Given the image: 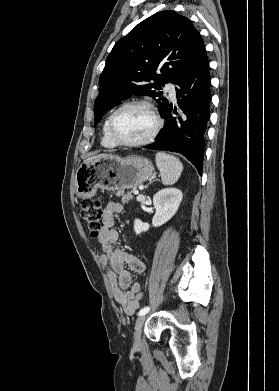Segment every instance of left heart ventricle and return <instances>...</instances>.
Returning <instances> with one entry per match:
<instances>
[{
  "mask_svg": "<svg viewBox=\"0 0 279 391\" xmlns=\"http://www.w3.org/2000/svg\"><path fill=\"white\" fill-rule=\"evenodd\" d=\"M153 126L154 120L146 109L128 107L116 115L113 131L122 141H137L145 138Z\"/></svg>",
  "mask_w": 279,
  "mask_h": 391,
  "instance_id": "left-heart-ventricle-1",
  "label": "left heart ventricle"
}]
</instances>
